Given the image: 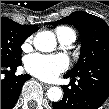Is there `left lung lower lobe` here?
<instances>
[{"label":"left lung lower lobe","mask_w":109,"mask_h":109,"mask_svg":"<svg viewBox=\"0 0 109 109\" xmlns=\"http://www.w3.org/2000/svg\"><path fill=\"white\" fill-rule=\"evenodd\" d=\"M70 78L71 88L62 86L63 99L53 103L54 109H98L109 96V63L100 62L90 65ZM77 80V84L74 82Z\"/></svg>","instance_id":"0a47b994"}]
</instances>
